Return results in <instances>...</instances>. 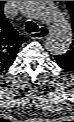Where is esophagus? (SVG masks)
I'll return each mask as SVG.
<instances>
[{"label":"esophagus","mask_w":74,"mask_h":122,"mask_svg":"<svg viewBox=\"0 0 74 122\" xmlns=\"http://www.w3.org/2000/svg\"><path fill=\"white\" fill-rule=\"evenodd\" d=\"M49 33V30L47 27L42 26L38 32H33L30 34V37L32 39H42L45 38Z\"/></svg>","instance_id":"1"}]
</instances>
